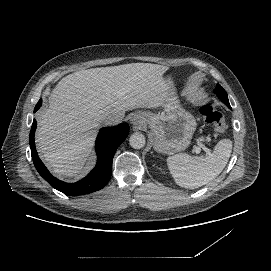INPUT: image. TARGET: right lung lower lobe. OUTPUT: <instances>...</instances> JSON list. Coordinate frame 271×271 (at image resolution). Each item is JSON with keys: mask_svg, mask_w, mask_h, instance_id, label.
Here are the masks:
<instances>
[{"mask_svg": "<svg viewBox=\"0 0 271 271\" xmlns=\"http://www.w3.org/2000/svg\"><path fill=\"white\" fill-rule=\"evenodd\" d=\"M42 104V99L35 106L36 112ZM37 122L33 121L30 131V148L34 165L39 174L55 189L66 195H82L88 194L102 189L110 180L112 174V161L114 154L119 145L126 139L129 134V125L120 124L116 127H105L100 130L96 140V152L98 161L96 167L82 180L68 184L64 183L50 174L44 164L38 157L34 134Z\"/></svg>", "mask_w": 271, "mask_h": 271, "instance_id": "right-lung-lower-lobe-1", "label": "right lung lower lobe"}]
</instances>
